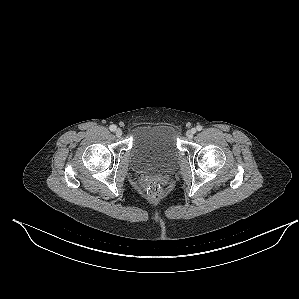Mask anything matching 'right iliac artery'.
Returning a JSON list of instances; mask_svg holds the SVG:
<instances>
[{"label": "right iliac artery", "instance_id": "1", "mask_svg": "<svg viewBox=\"0 0 299 299\" xmlns=\"http://www.w3.org/2000/svg\"><path fill=\"white\" fill-rule=\"evenodd\" d=\"M109 129L113 132L116 130V125H110Z\"/></svg>", "mask_w": 299, "mask_h": 299}]
</instances>
